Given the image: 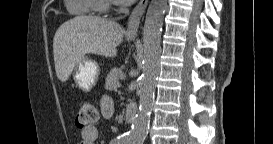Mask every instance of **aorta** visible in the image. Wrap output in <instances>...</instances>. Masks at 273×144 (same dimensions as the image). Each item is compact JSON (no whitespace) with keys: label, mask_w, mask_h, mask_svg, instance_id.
Returning a JSON list of instances; mask_svg holds the SVG:
<instances>
[{"label":"aorta","mask_w":273,"mask_h":144,"mask_svg":"<svg viewBox=\"0 0 273 144\" xmlns=\"http://www.w3.org/2000/svg\"><path fill=\"white\" fill-rule=\"evenodd\" d=\"M166 9L167 0H151L148 7L143 29V71L139 86V109L130 131L120 137V144H142L148 134L159 75L160 35Z\"/></svg>","instance_id":"762f6f07"}]
</instances>
